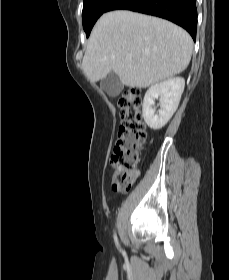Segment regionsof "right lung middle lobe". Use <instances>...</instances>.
<instances>
[{
  "mask_svg": "<svg viewBox=\"0 0 229 280\" xmlns=\"http://www.w3.org/2000/svg\"><path fill=\"white\" fill-rule=\"evenodd\" d=\"M82 22L87 37L97 19L107 11L114 0H83Z\"/></svg>",
  "mask_w": 229,
  "mask_h": 280,
  "instance_id": "1",
  "label": "right lung middle lobe"
}]
</instances>
